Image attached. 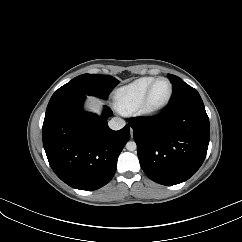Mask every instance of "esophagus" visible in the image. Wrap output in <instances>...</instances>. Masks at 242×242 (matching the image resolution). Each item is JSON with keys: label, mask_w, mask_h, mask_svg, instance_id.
I'll return each instance as SVG.
<instances>
[{"label": "esophagus", "mask_w": 242, "mask_h": 242, "mask_svg": "<svg viewBox=\"0 0 242 242\" xmlns=\"http://www.w3.org/2000/svg\"><path fill=\"white\" fill-rule=\"evenodd\" d=\"M130 134H131V137H132L133 136V130L132 129L130 130Z\"/></svg>", "instance_id": "esophagus-1"}]
</instances>
